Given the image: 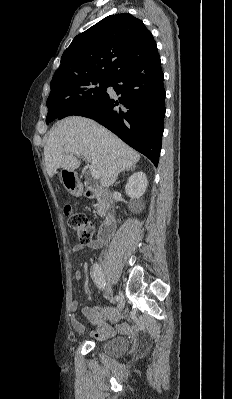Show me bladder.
I'll use <instances>...</instances> for the list:
<instances>
[{
  "label": "bladder",
  "instance_id": "obj_1",
  "mask_svg": "<svg viewBox=\"0 0 232 399\" xmlns=\"http://www.w3.org/2000/svg\"><path fill=\"white\" fill-rule=\"evenodd\" d=\"M100 351L108 358L116 359L124 356L128 349L129 343L123 337H116L99 346Z\"/></svg>",
  "mask_w": 232,
  "mask_h": 399
}]
</instances>
